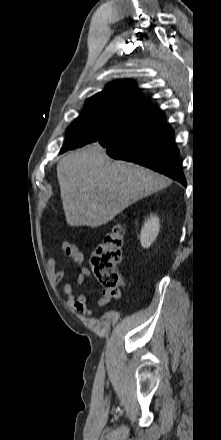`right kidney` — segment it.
Wrapping results in <instances>:
<instances>
[{
	"label": "right kidney",
	"instance_id": "ca27d5eb",
	"mask_svg": "<svg viewBox=\"0 0 221 440\" xmlns=\"http://www.w3.org/2000/svg\"><path fill=\"white\" fill-rule=\"evenodd\" d=\"M160 229L159 218L151 216L145 222L140 234V242L143 248H149L158 236Z\"/></svg>",
	"mask_w": 221,
	"mask_h": 440
}]
</instances>
